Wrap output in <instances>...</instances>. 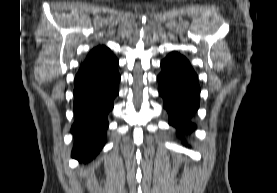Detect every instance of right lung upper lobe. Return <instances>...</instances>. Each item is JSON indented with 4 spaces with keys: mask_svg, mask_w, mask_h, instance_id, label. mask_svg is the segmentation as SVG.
<instances>
[{
    "mask_svg": "<svg viewBox=\"0 0 277 193\" xmlns=\"http://www.w3.org/2000/svg\"><path fill=\"white\" fill-rule=\"evenodd\" d=\"M108 48H106L105 46H99L94 48L93 50L90 51V53L88 54L86 60L93 58L101 53H103L104 51H107Z\"/></svg>",
    "mask_w": 277,
    "mask_h": 193,
    "instance_id": "1",
    "label": "right lung upper lobe"
}]
</instances>
